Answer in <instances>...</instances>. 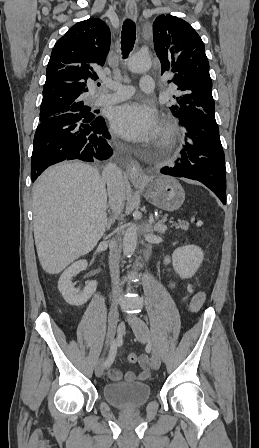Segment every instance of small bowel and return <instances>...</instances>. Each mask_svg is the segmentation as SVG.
<instances>
[{
  "label": "small bowel",
  "instance_id": "1",
  "mask_svg": "<svg viewBox=\"0 0 259 448\" xmlns=\"http://www.w3.org/2000/svg\"><path fill=\"white\" fill-rule=\"evenodd\" d=\"M164 262H165V264H169L170 258L166 257ZM173 286H174V284L170 283V287H173ZM204 299H205V296L203 293L197 294L192 300L191 309L195 312L198 311L201 308V306L204 302ZM138 362L141 367V372L139 374H135L133 372H127L123 375V373L121 371L113 369V370H110L108 373L109 378L114 381H120L122 378H124L125 381H127V382L146 380L150 374V359L147 355H141L139 357Z\"/></svg>",
  "mask_w": 259,
  "mask_h": 448
}]
</instances>
